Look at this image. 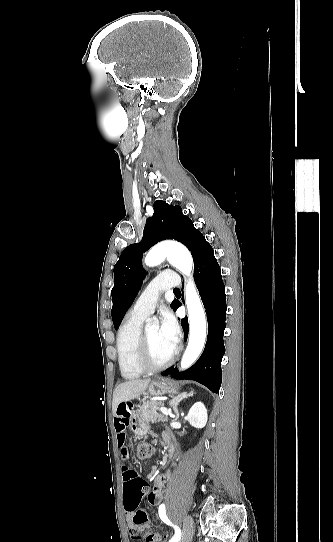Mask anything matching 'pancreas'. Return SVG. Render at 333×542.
<instances>
[{
	"label": "pancreas",
	"mask_w": 333,
	"mask_h": 542,
	"mask_svg": "<svg viewBox=\"0 0 333 542\" xmlns=\"http://www.w3.org/2000/svg\"><path fill=\"white\" fill-rule=\"evenodd\" d=\"M164 406L163 402H143L136 416L144 422H168L167 416L158 414L159 408H164Z\"/></svg>",
	"instance_id": "1"
}]
</instances>
